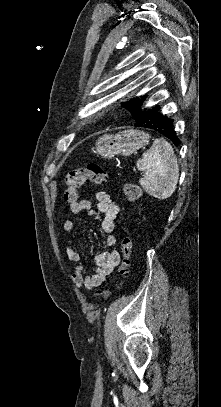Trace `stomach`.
Segmentation results:
<instances>
[{
  "label": "stomach",
  "mask_w": 221,
  "mask_h": 407,
  "mask_svg": "<svg viewBox=\"0 0 221 407\" xmlns=\"http://www.w3.org/2000/svg\"><path fill=\"white\" fill-rule=\"evenodd\" d=\"M150 138L149 133L133 129L105 134L96 141L95 153L105 158L115 155L129 156L148 145Z\"/></svg>",
  "instance_id": "stomach-1"
}]
</instances>
